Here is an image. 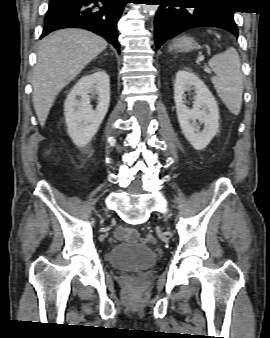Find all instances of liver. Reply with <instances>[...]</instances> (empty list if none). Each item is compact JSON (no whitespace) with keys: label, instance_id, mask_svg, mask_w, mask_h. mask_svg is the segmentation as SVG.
I'll return each mask as SVG.
<instances>
[{"label":"liver","instance_id":"1","mask_svg":"<svg viewBox=\"0 0 270 338\" xmlns=\"http://www.w3.org/2000/svg\"><path fill=\"white\" fill-rule=\"evenodd\" d=\"M107 47V41L82 29H63L43 38L33 73V106L41 126L58 93Z\"/></svg>","mask_w":270,"mask_h":338}]
</instances>
